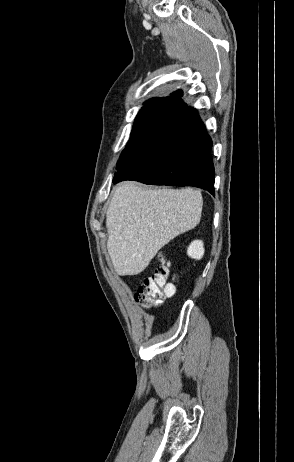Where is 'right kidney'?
I'll return each mask as SVG.
<instances>
[{
  "mask_svg": "<svg viewBox=\"0 0 294 462\" xmlns=\"http://www.w3.org/2000/svg\"><path fill=\"white\" fill-rule=\"evenodd\" d=\"M189 257L200 260L204 255V245L201 240H194L187 249Z\"/></svg>",
  "mask_w": 294,
  "mask_h": 462,
  "instance_id": "obj_1",
  "label": "right kidney"
}]
</instances>
